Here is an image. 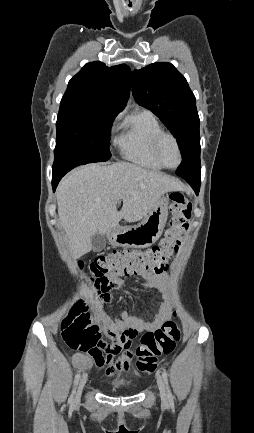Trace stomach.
Returning <instances> with one entry per match:
<instances>
[{"label":"stomach","instance_id":"stomach-1","mask_svg":"<svg viewBox=\"0 0 254 433\" xmlns=\"http://www.w3.org/2000/svg\"><path fill=\"white\" fill-rule=\"evenodd\" d=\"M169 198L162 196L141 223L116 227L109 231L108 240L113 246L147 248L162 235L168 217Z\"/></svg>","mask_w":254,"mask_h":433}]
</instances>
